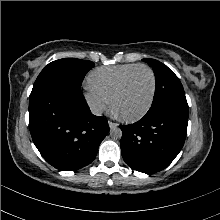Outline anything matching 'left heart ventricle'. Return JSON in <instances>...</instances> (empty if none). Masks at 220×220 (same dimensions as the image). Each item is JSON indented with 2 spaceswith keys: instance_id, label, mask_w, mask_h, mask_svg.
I'll return each mask as SVG.
<instances>
[{
  "instance_id": "1",
  "label": "left heart ventricle",
  "mask_w": 220,
  "mask_h": 220,
  "mask_svg": "<svg viewBox=\"0 0 220 220\" xmlns=\"http://www.w3.org/2000/svg\"><path fill=\"white\" fill-rule=\"evenodd\" d=\"M152 91V78L147 69L139 68L130 76L118 96L115 107L119 114L132 116L140 113L147 105Z\"/></svg>"
}]
</instances>
